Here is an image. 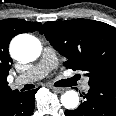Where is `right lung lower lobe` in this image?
<instances>
[{"label": "right lung lower lobe", "mask_w": 116, "mask_h": 116, "mask_svg": "<svg viewBox=\"0 0 116 116\" xmlns=\"http://www.w3.org/2000/svg\"><path fill=\"white\" fill-rule=\"evenodd\" d=\"M37 90L28 92L14 90L6 94L0 100V116H31Z\"/></svg>", "instance_id": "right-lung-lower-lobe-1"}]
</instances>
